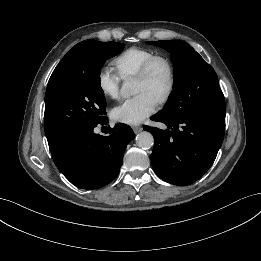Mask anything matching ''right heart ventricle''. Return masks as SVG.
<instances>
[{
    "label": "right heart ventricle",
    "mask_w": 261,
    "mask_h": 261,
    "mask_svg": "<svg viewBox=\"0 0 261 261\" xmlns=\"http://www.w3.org/2000/svg\"><path fill=\"white\" fill-rule=\"evenodd\" d=\"M155 55L157 53L151 49L130 47L113 59V65L121 78L133 77Z\"/></svg>",
    "instance_id": "e07e8e85"
}]
</instances>
